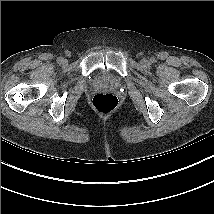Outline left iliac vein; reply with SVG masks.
Returning a JSON list of instances; mask_svg holds the SVG:
<instances>
[{
  "instance_id": "obj_1",
  "label": "left iliac vein",
  "mask_w": 214,
  "mask_h": 214,
  "mask_svg": "<svg viewBox=\"0 0 214 214\" xmlns=\"http://www.w3.org/2000/svg\"><path fill=\"white\" fill-rule=\"evenodd\" d=\"M141 63H142L143 65H147V64H148V60L144 58V59L141 60Z\"/></svg>"
}]
</instances>
